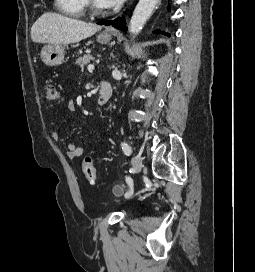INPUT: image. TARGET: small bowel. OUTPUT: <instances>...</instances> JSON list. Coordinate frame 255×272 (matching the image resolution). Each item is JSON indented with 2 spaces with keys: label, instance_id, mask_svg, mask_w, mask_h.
Instances as JSON below:
<instances>
[{
  "label": "small bowel",
  "instance_id": "small-bowel-1",
  "mask_svg": "<svg viewBox=\"0 0 255 272\" xmlns=\"http://www.w3.org/2000/svg\"><path fill=\"white\" fill-rule=\"evenodd\" d=\"M67 109H68L69 113L73 114L76 111V106H75V104L73 102H69L68 105H67ZM69 121H70V119L64 120L61 123L60 128L54 130L51 133L52 140H54V141H59L60 140V138H61V129H62V127L67 125ZM83 153H84V148L77 145V144L69 143L66 146V155L71 160H74V159L80 157Z\"/></svg>",
  "mask_w": 255,
  "mask_h": 272
}]
</instances>
